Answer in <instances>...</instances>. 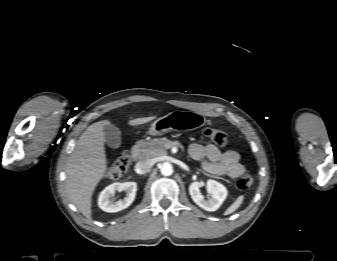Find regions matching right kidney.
<instances>
[{"label":"right kidney","mask_w":337,"mask_h":261,"mask_svg":"<svg viewBox=\"0 0 337 261\" xmlns=\"http://www.w3.org/2000/svg\"><path fill=\"white\" fill-rule=\"evenodd\" d=\"M126 191V197L114 202L112 197L116 191ZM137 184L135 182L113 183L107 186L99 195L98 205L105 212H118L132 204L135 199Z\"/></svg>","instance_id":"ca27d5eb"}]
</instances>
